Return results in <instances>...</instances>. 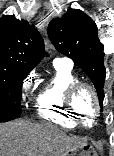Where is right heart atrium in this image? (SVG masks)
<instances>
[{"mask_svg":"<svg viewBox=\"0 0 114 156\" xmlns=\"http://www.w3.org/2000/svg\"><path fill=\"white\" fill-rule=\"evenodd\" d=\"M33 89V74L28 75L22 83V99L25 101L26 98L31 95Z\"/></svg>","mask_w":114,"mask_h":156,"instance_id":"right-heart-atrium-1","label":"right heart atrium"}]
</instances>
